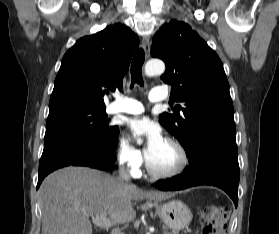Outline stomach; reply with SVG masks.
Here are the masks:
<instances>
[{"label": "stomach", "mask_w": 279, "mask_h": 234, "mask_svg": "<svg viewBox=\"0 0 279 234\" xmlns=\"http://www.w3.org/2000/svg\"><path fill=\"white\" fill-rule=\"evenodd\" d=\"M154 206L163 223L174 232L186 228L192 220L190 209L181 201H170L163 204L155 202Z\"/></svg>", "instance_id": "stomach-1"}]
</instances>
